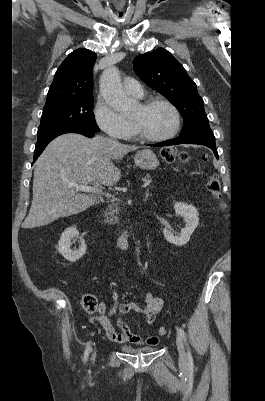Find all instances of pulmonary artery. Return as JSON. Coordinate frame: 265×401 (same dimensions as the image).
<instances>
[{"instance_id": "1", "label": "pulmonary artery", "mask_w": 265, "mask_h": 401, "mask_svg": "<svg viewBox=\"0 0 265 401\" xmlns=\"http://www.w3.org/2000/svg\"><path fill=\"white\" fill-rule=\"evenodd\" d=\"M123 88L125 91L136 97L143 96V89L139 85L138 81H133V77H128V81L123 82Z\"/></svg>"}]
</instances>
